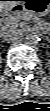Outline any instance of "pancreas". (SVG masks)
<instances>
[{
	"label": "pancreas",
	"mask_w": 50,
	"mask_h": 111,
	"mask_svg": "<svg viewBox=\"0 0 50 111\" xmlns=\"http://www.w3.org/2000/svg\"><path fill=\"white\" fill-rule=\"evenodd\" d=\"M28 19H34L37 23V27L39 29L43 26V21L40 20L37 16H35L33 13L26 12L22 15L18 16H11L3 20V26L5 29H13L17 26H24L26 21Z\"/></svg>",
	"instance_id": "cf45deb5"
}]
</instances>
